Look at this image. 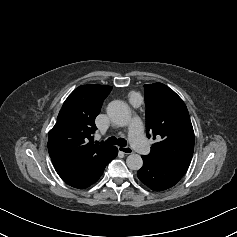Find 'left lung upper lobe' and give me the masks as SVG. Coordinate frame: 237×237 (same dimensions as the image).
I'll return each mask as SVG.
<instances>
[{
	"label": "left lung upper lobe",
	"instance_id": "left-lung-upper-lobe-1",
	"mask_svg": "<svg viewBox=\"0 0 237 237\" xmlns=\"http://www.w3.org/2000/svg\"><path fill=\"white\" fill-rule=\"evenodd\" d=\"M146 128L157 142L145 157L186 172L194 151V131L186 105L162 83L146 84Z\"/></svg>",
	"mask_w": 237,
	"mask_h": 237
}]
</instances>
